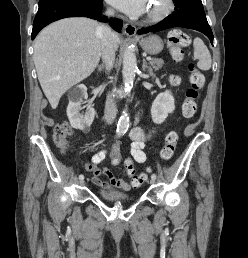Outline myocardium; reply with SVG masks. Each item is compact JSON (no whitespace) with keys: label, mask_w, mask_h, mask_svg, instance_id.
Instances as JSON below:
<instances>
[{"label":"myocardium","mask_w":248,"mask_h":258,"mask_svg":"<svg viewBox=\"0 0 248 258\" xmlns=\"http://www.w3.org/2000/svg\"><path fill=\"white\" fill-rule=\"evenodd\" d=\"M173 10L174 0H163L162 6L158 10L152 13H148L146 16V20L149 22H159L168 17Z\"/></svg>","instance_id":"obj_1"}]
</instances>
